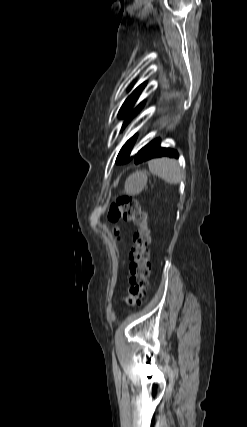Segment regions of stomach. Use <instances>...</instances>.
Returning <instances> with one entry per match:
<instances>
[{
	"instance_id": "stomach-1",
	"label": "stomach",
	"mask_w": 247,
	"mask_h": 427,
	"mask_svg": "<svg viewBox=\"0 0 247 427\" xmlns=\"http://www.w3.org/2000/svg\"><path fill=\"white\" fill-rule=\"evenodd\" d=\"M147 184V175L142 171H136L125 181L124 191L129 195H138Z\"/></svg>"
}]
</instances>
